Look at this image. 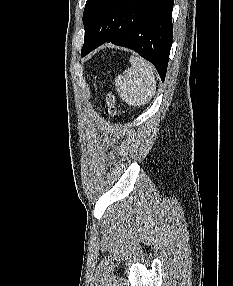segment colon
<instances>
[{
  "label": "colon",
  "instance_id": "colon-1",
  "mask_svg": "<svg viewBox=\"0 0 233 286\" xmlns=\"http://www.w3.org/2000/svg\"><path fill=\"white\" fill-rule=\"evenodd\" d=\"M106 104L108 107V111L112 114L117 112V106H116V102H115V97L113 96L112 93H107L106 95Z\"/></svg>",
  "mask_w": 233,
  "mask_h": 286
}]
</instances>
